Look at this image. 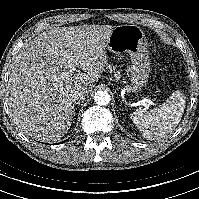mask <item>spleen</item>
<instances>
[{
    "instance_id": "obj_1",
    "label": "spleen",
    "mask_w": 199,
    "mask_h": 199,
    "mask_svg": "<svg viewBox=\"0 0 199 199\" xmlns=\"http://www.w3.org/2000/svg\"><path fill=\"white\" fill-rule=\"evenodd\" d=\"M185 96L175 91L160 107L131 114V119L143 137L160 139L171 133L181 121L185 109Z\"/></svg>"
}]
</instances>
